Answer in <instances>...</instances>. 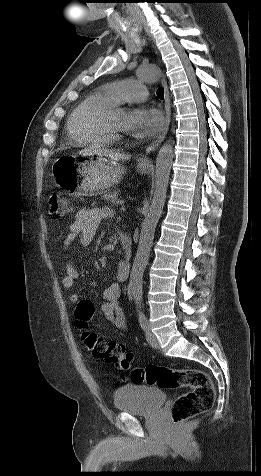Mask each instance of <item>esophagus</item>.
<instances>
[{
    "label": "esophagus",
    "instance_id": "34e87169",
    "mask_svg": "<svg viewBox=\"0 0 261 476\" xmlns=\"http://www.w3.org/2000/svg\"><path fill=\"white\" fill-rule=\"evenodd\" d=\"M161 84L164 88V102H165V113H166L165 125H164V128L162 129V131L156 137V139L146 148V155L143 156L139 160V165L140 166H148L149 165L148 154L155 151L159 147V145L164 140V138H165V136L168 132V129H169L170 117H171L170 98H169V90H168L167 82H166L164 77L161 80Z\"/></svg>",
    "mask_w": 261,
    "mask_h": 476
}]
</instances>
